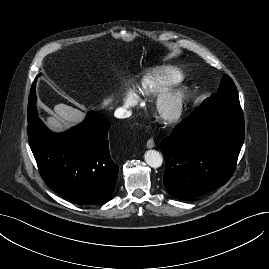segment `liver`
<instances>
[{
  "mask_svg": "<svg viewBox=\"0 0 269 269\" xmlns=\"http://www.w3.org/2000/svg\"><path fill=\"white\" fill-rule=\"evenodd\" d=\"M113 101V97L103 100L102 106H108ZM85 118V113L63 103L54 106V113L46 118L47 126L57 132L67 130L70 126L81 123Z\"/></svg>",
  "mask_w": 269,
  "mask_h": 269,
  "instance_id": "1",
  "label": "liver"
}]
</instances>
